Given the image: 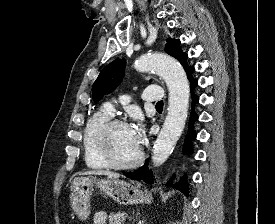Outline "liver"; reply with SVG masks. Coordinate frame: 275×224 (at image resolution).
<instances>
[{
	"mask_svg": "<svg viewBox=\"0 0 275 224\" xmlns=\"http://www.w3.org/2000/svg\"><path fill=\"white\" fill-rule=\"evenodd\" d=\"M82 175H105V176H108V178H113V179H117L119 177L118 173H114L111 171H102V170L86 171V172H83Z\"/></svg>",
	"mask_w": 275,
	"mask_h": 224,
	"instance_id": "6515ba94",
	"label": "liver"
}]
</instances>
